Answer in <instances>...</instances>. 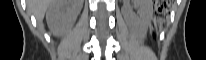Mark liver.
<instances>
[{
  "label": "liver",
  "mask_w": 206,
  "mask_h": 60,
  "mask_svg": "<svg viewBox=\"0 0 206 60\" xmlns=\"http://www.w3.org/2000/svg\"><path fill=\"white\" fill-rule=\"evenodd\" d=\"M83 0H69L63 2L60 0H28V11L36 17L38 22H41L47 9L50 6H56V20L47 19L48 26L55 35H62L68 28L70 22L74 21L76 15L80 12ZM64 4H70L65 10H62Z\"/></svg>",
  "instance_id": "obj_1"
}]
</instances>
